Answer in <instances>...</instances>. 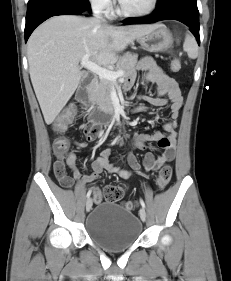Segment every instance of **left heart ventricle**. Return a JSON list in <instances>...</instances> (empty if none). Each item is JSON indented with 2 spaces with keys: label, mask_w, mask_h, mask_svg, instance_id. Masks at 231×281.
I'll return each instance as SVG.
<instances>
[{
  "label": "left heart ventricle",
  "mask_w": 231,
  "mask_h": 281,
  "mask_svg": "<svg viewBox=\"0 0 231 281\" xmlns=\"http://www.w3.org/2000/svg\"><path fill=\"white\" fill-rule=\"evenodd\" d=\"M152 0H121L124 7L132 11H143L151 5Z\"/></svg>",
  "instance_id": "obj_1"
}]
</instances>
